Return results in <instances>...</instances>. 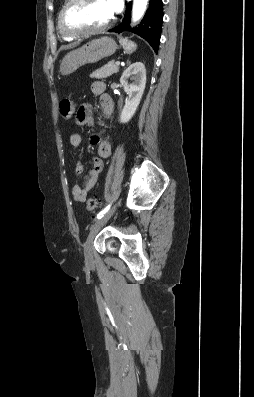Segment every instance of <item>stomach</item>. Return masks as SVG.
I'll return each instance as SVG.
<instances>
[{
  "mask_svg": "<svg viewBox=\"0 0 254 397\" xmlns=\"http://www.w3.org/2000/svg\"><path fill=\"white\" fill-rule=\"evenodd\" d=\"M117 48V43L110 37L93 39L82 47L67 53L60 63L59 72L62 75H69L85 64L96 63L111 56Z\"/></svg>",
  "mask_w": 254,
  "mask_h": 397,
  "instance_id": "1",
  "label": "stomach"
}]
</instances>
